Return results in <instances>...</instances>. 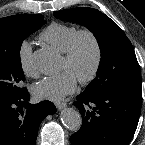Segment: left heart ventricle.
Segmentation results:
<instances>
[{
    "mask_svg": "<svg viewBox=\"0 0 145 145\" xmlns=\"http://www.w3.org/2000/svg\"><path fill=\"white\" fill-rule=\"evenodd\" d=\"M94 61V50L91 42L83 38L78 47L75 59L71 63H66L63 59L61 69L68 70L78 79L89 73Z\"/></svg>",
    "mask_w": 145,
    "mask_h": 145,
    "instance_id": "b2bd125f",
    "label": "left heart ventricle"
}]
</instances>
